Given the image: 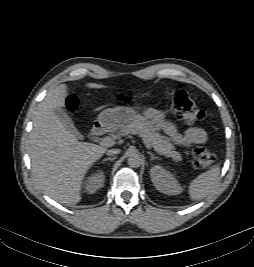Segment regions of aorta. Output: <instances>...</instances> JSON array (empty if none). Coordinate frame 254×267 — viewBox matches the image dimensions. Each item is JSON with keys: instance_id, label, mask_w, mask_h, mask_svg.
<instances>
[{"instance_id": "obj_1", "label": "aorta", "mask_w": 254, "mask_h": 267, "mask_svg": "<svg viewBox=\"0 0 254 267\" xmlns=\"http://www.w3.org/2000/svg\"><path fill=\"white\" fill-rule=\"evenodd\" d=\"M142 164V158L137 151H131L128 157V165L132 168H138Z\"/></svg>"}]
</instances>
